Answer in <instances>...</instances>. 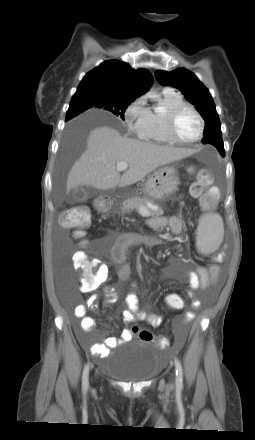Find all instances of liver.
Segmentation results:
<instances>
[{
    "mask_svg": "<svg viewBox=\"0 0 255 440\" xmlns=\"http://www.w3.org/2000/svg\"><path fill=\"white\" fill-rule=\"evenodd\" d=\"M195 151L155 145L125 138L111 127L92 130L87 147L71 168L66 190L90 186L100 190L126 187L142 180L156 168L190 156ZM126 162L129 169L121 176L116 166Z\"/></svg>",
    "mask_w": 255,
    "mask_h": 440,
    "instance_id": "obj_1",
    "label": "liver"
}]
</instances>
